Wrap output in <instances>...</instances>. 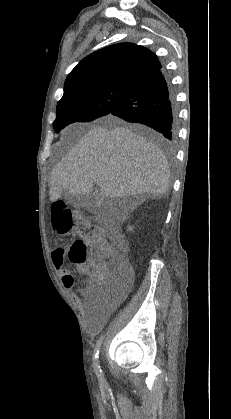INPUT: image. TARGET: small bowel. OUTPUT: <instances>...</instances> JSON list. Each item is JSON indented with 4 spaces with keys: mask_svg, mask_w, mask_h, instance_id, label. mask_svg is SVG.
I'll list each match as a JSON object with an SVG mask.
<instances>
[{
    "mask_svg": "<svg viewBox=\"0 0 231 419\" xmlns=\"http://www.w3.org/2000/svg\"><path fill=\"white\" fill-rule=\"evenodd\" d=\"M59 251V255H54L53 253ZM64 254L65 251L63 249H57L55 251L52 252V259H53V263L56 267V269L59 272V275L61 277V283L63 285V287L68 290L70 292V296L73 300V302L75 303V305L82 311L85 312V304L84 302L75 294H73L71 292V289L73 288L74 284H75V278L72 275V273L70 271H68L65 267H64ZM61 257L62 259V263L58 264L55 262V258ZM92 283V279L90 280ZM127 292V288L123 289L119 299H122V297L125 295V293ZM90 293V288H86L84 290L81 291V294L85 297H87ZM87 326L90 330H95L97 328V323L96 321H88L87 322Z\"/></svg>",
    "mask_w": 231,
    "mask_h": 419,
    "instance_id": "c3829d8e",
    "label": "small bowel"
}]
</instances>
